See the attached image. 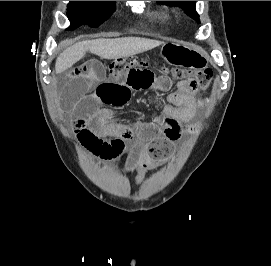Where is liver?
I'll return each mask as SVG.
<instances>
[{
  "instance_id": "1",
  "label": "liver",
  "mask_w": 271,
  "mask_h": 266,
  "mask_svg": "<svg viewBox=\"0 0 271 266\" xmlns=\"http://www.w3.org/2000/svg\"><path fill=\"white\" fill-rule=\"evenodd\" d=\"M163 42L138 37H125L116 39H97L79 42L61 53L55 64L56 74L62 73V67H72L75 62L82 59L86 51L99 56L102 59H117L133 56L157 46Z\"/></svg>"
}]
</instances>
